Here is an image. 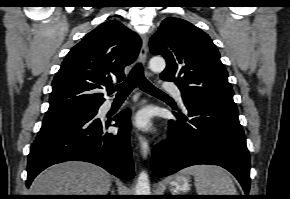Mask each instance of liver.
<instances>
[{
	"label": "liver",
	"mask_w": 290,
	"mask_h": 199,
	"mask_svg": "<svg viewBox=\"0 0 290 199\" xmlns=\"http://www.w3.org/2000/svg\"><path fill=\"white\" fill-rule=\"evenodd\" d=\"M112 176L103 168L70 161L54 165L35 178L31 195H107Z\"/></svg>",
	"instance_id": "6515ba94"
}]
</instances>
